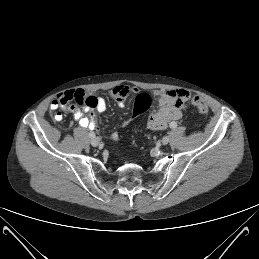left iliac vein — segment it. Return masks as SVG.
Returning <instances> with one entry per match:
<instances>
[{
  "instance_id": "left-iliac-vein-1",
  "label": "left iliac vein",
  "mask_w": 259,
  "mask_h": 259,
  "mask_svg": "<svg viewBox=\"0 0 259 259\" xmlns=\"http://www.w3.org/2000/svg\"><path fill=\"white\" fill-rule=\"evenodd\" d=\"M169 141H170L169 136H164V137L162 138V144H163V145L168 144V143H169Z\"/></svg>"
}]
</instances>
